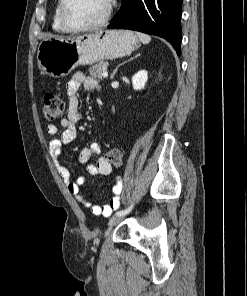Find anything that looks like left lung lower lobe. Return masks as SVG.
<instances>
[{"label":"left lung lower lobe","mask_w":247,"mask_h":296,"mask_svg":"<svg viewBox=\"0 0 247 296\" xmlns=\"http://www.w3.org/2000/svg\"><path fill=\"white\" fill-rule=\"evenodd\" d=\"M183 0H122L108 28L131 29L166 39L181 55Z\"/></svg>","instance_id":"1"}]
</instances>
